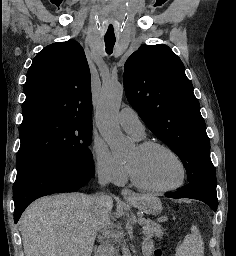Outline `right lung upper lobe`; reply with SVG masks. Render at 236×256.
Here are the masks:
<instances>
[{
  "label": "right lung upper lobe",
  "instance_id": "obj_1",
  "mask_svg": "<svg viewBox=\"0 0 236 256\" xmlns=\"http://www.w3.org/2000/svg\"><path fill=\"white\" fill-rule=\"evenodd\" d=\"M23 120L51 115L91 121V76L81 45H48L34 58L24 85Z\"/></svg>",
  "mask_w": 236,
  "mask_h": 256
}]
</instances>
